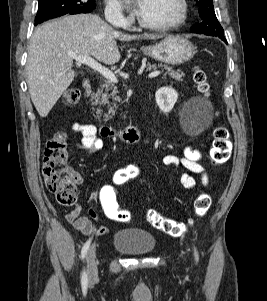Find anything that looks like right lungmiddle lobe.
Returning <instances> with one entry per match:
<instances>
[{"label": "right lung middle lobe", "instance_id": "obj_1", "mask_svg": "<svg viewBox=\"0 0 267 301\" xmlns=\"http://www.w3.org/2000/svg\"><path fill=\"white\" fill-rule=\"evenodd\" d=\"M35 25L67 13H89L96 8L95 0H38Z\"/></svg>", "mask_w": 267, "mask_h": 301}]
</instances>
